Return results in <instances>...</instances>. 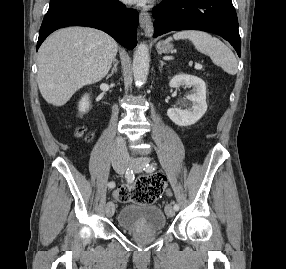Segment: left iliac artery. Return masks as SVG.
I'll list each match as a JSON object with an SVG mask.
<instances>
[{"instance_id": "44dca946", "label": "left iliac artery", "mask_w": 286, "mask_h": 269, "mask_svg": "<svg viewBox=\"0 0 286 269\" xmlns=\"http://www.w3.org/2000/svg\"><path fill=\"white\" fill-rule=\"evenodd\" d=\"M144 170L146 172H152L155 170V167L153 165H150V164H146L145 167H144ZM172 204L174 205V209L177 211L179 210V205L178 204H175L174 202H172Z\"/></svg>"}]
</instances>
